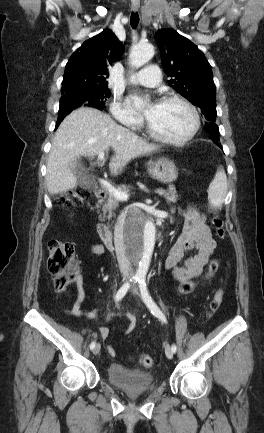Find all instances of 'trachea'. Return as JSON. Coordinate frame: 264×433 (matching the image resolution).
I'll use <instances>...</instances> for the list:
<instances>
[{"instance_id":"trachea-1","label":"trachea","mask_w":264,"mask_h":433,"mask_svg":"<svg viewBox=\"0 0 264 433\" xmlns=\"http://www.w3.org/2000/svg\"><path fill=\"white\" fill-rule=\"evenodd\" d=\"M130 23H131V27L133 29L137 28L138 23H139V15H138L137 12L136 13H134V12L131 13Z\"/></svg>"}]
</instances>
